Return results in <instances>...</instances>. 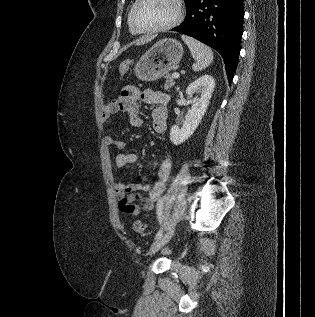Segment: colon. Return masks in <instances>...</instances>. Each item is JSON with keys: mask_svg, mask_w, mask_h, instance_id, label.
I'll list each match as a JSON object with an SVG mask.
<instances>
[{"mask_svg": "<svg viewBox=\"0 0 315 317\" xmlns=\"http://www.w3.org/2000/svg\"><path fill=\"white\" fill-rule=\"evenodd\" d=\"M131 64H132L131 60L122 61L119 65V69H118L119 74L121 76L125 75L129 71ZM133 228H134V231L138 234H143L145 231L144 223L139 221V220L134 222Z\"/></svg>", "mask_w": 315, "mask_h": 317, "instance_id": "colon-1", "label": "colon"}]
</instances>
